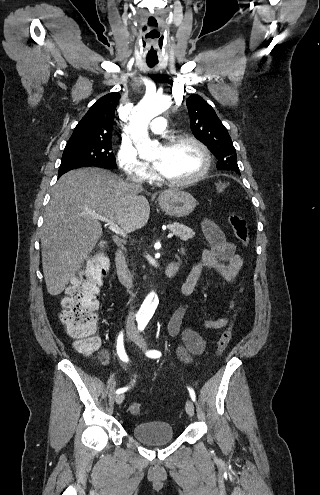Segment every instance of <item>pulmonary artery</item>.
<instances>
[{"mask_svg":"<svg viewBox=\"0 0 320 495\" xmlns=\"http://www.w3.org/2000/svg\"><path fill=\"white\" fill-rule=\"evenodd\" d=\"M167 120L162 117H156L152 120L150 130L154 134H163L166 130Z\"/></svg>","mask_w":320,"mask_h":495,"instance_id":"1","label":"pulmonary artery"}]
</instances>
